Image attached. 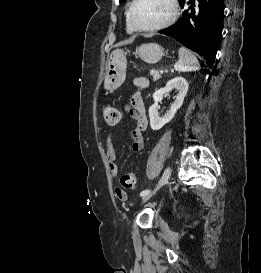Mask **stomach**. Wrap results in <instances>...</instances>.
Masks as SVG:
<instances>
[{
  "mask_svg": "<svg viewBox=\"0 0 261 273\" xmlns=\"http://www.w3.org/2000/svg\"><path fill=\"white\" fill-rule=\"evenodd\" d=\"M136 54L146 63L155 64L164 56V49L156 43L142 44L136 49ZM127 60L122 50H115L110 55L104 88L110 92L117 89L125 80Z\"/></svg>",
  "mask_w": 261,
  "mask_h": 273,
  "instance_id": "0dacf381",
  "label": "stomach"
}]
</instances>
